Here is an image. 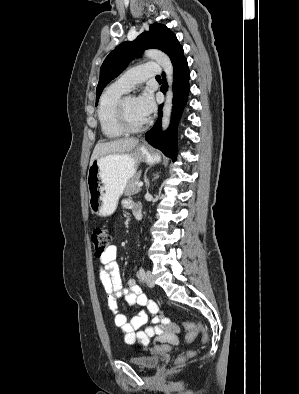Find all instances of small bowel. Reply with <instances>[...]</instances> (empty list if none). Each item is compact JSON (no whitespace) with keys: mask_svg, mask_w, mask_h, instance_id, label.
I'll list each match as a JSON object with an SVG mask.
<instances>
[{"mask_svg":"<svg viewBox=\"0 0 299 394\" xmlns=\"http://www.w3.org/2000/svg\"><path fill=\"white\" fill-rule=\"evenodd\" d=\"M125 208L134 212L138 207L129 199L123 201ZM116 246L111 245L100 258L98 267L101 283L108 293V307L115 313L114 324L120 329L124 342L147 346L151 339L167 345H177L180 328L163 315L158 304L149 298L135 279H128L123 285L115 262ZM122 297L127 305L139 306L137 314L127 317L118 312L117 298Z\"/></svg>","mask_w":299,"mask_h":394,"instance_id":"1","label":"small bowel"}]
</instances>
